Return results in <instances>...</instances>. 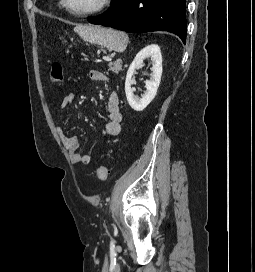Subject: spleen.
<instances>
[{
  "label": "spleen",
  "mask_w": 255,
  "mask_h": 272,
  "mask_svg": "<svg viewBox=\"0 0 255 272\" xmlns=\"http://www.w3.org/2000/svg\"><path fill=\"white\" fill-rule=\"evenodd\" d=\"M74 31L85 41L104 46L117 52H123L129 41L128 35L125 32L111 28L79 25L74 28Z\"/></svg>",
  "instance_id": "spleen-1"
}]
</instances>
